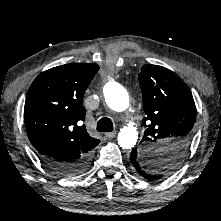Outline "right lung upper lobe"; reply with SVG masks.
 Listing matches in <instances>:
<instances>
[{
	"label": "right lung upper lobe",
	"instance_id": "cb5924a9",
	"mask_svg": "<svg viewBox=\"0 0 221 221\" xmlns=\"http://www.w3.org/2000/svg\"><path fill=\"white\" fill-rule=\"evenodd\" d=\"M99 70L93 63H72L51 68L29 88L24 118L29 139L41 157L79 161L91 156L100 140L92 138L82 122L83 95Z\"/></svg>",
	"mask_w": 221,
	"mask_h": 221
}]
</instances>
